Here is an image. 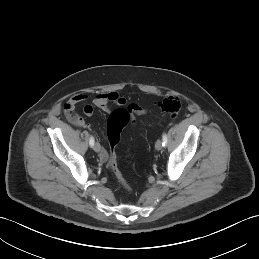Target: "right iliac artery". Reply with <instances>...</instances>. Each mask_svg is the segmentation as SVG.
Segmentation results:
<instances>
[{
    "mask_svg": "<svg viewBox=\"0 0 259 259\" xmlns=\"http://www.w3.org/2000/svg\"><path fill=\"white\" fill-rule=\"evenodd\" d=\"M94 138L91 136L90 139H89V144L90 146L92 147L94 145Z\"/></svg>",
    "mask_w": 259,
    "mask_h": 259,
    "instance_id": "right-iliac-artery-1",
    "label": "right iliac artery"
}]
</instances>
